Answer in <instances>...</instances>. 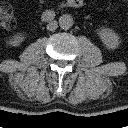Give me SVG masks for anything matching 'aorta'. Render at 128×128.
I'll return each instance as SVG.
<instances>
[{"instance_id": "obj_1", "label": "aorta", "mask_w": 128, "mask_h": 128, "mask_svg": "<svg viewBox=\"0 0 128 128\" xmlns=\"http://www.w3.org/2000/svg\"><path fill=\"white\" fill-rule=\"evenodd\" d=\"M73 17L69 14H64L59 18V25L62 29H70L73 26Z\"/></svg>"}]
</instances>
